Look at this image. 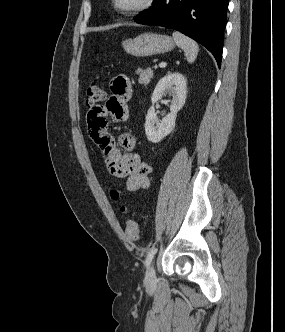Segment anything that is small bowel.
<instances>
[{
  "label": "small bowel",
  "mask_w": 285,
  "mask_h": 332,
  "mask_svg": "<svg viewBox=\"0 0 285 332\" xmlns=\"http://www.w3.org/2000/svg\"><path fill=\"white\" fill-rule=\"evenodd\" d=\"M110 88L112 96L105 105L90 108L87 113L90 137L103 154L109 172L117 179L125 180L128 192L147 189L151 167L135 152V135L124 132L114 137L106 131L109 120L118 123L128 118L127 102L132 95L130 80L126 75L118 74L112 78Z\"/></svg>",
  "instance_id": "small-bowel-1"
}]
</instances>
